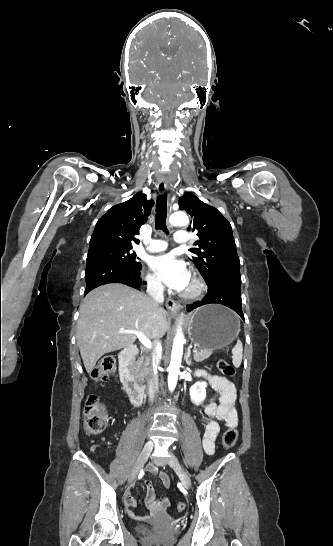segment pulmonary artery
Segmentation results:
<instances>
[{
    "instance_id": "1",
    "label": "pulmonary artery",
    "mask_w": 333,
    "mask_h": 546,
    "mask_svg": "<svg viewBox=\"0 0 333 546\" xmlns=\"http://www.w3.org/2000/svg\"><path fill=\"white\" fill-rule=\"evenodd\" d=\"M174 240L176 243L183 244L190 240L189 234L183 230H179L175 233ZM168 244L164 240L153 239L146 247V250L152 253L164 251Z\"/></svg>"
}]
</instances>
